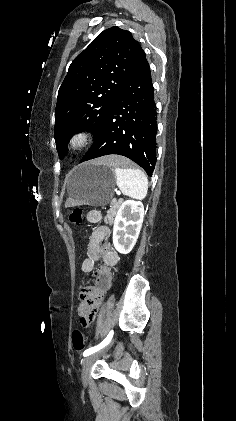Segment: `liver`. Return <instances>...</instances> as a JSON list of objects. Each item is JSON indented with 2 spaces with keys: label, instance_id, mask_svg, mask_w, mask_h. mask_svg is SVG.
Masks as SVG:
<instances>
[{
  "label": "liver",
  "instance_id": "liver-1",
  "mask_svg": "<svg viewBox=\"0 0 236 421\" xmlns=\"http://www.w3.org/2000/svg\"><path fill=\"white\" fill-rule=\"evenodd\" d=\"M98 162L99 164H109V166H114L116 162L124 164V162H126V158H116L115 154H112V156H104V158H101Z\"/></svg>",
  "mask_w": 236,
  "mask_h": 421
}]
</instances>
